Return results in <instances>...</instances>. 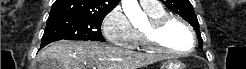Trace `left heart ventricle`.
Segmentation results:
<instances>
[{"mask_svg":"<svg viewBox=\"0 0 246 69\" xmlns=\"http://www.w3.org/2000/svg\"><path fill=\"white\" fill-rule=\"evenodd\" d=\"M146 27L147 24L143 29ZM158 40L170 48L179 49L189 43L191 38L187 29L179 21L174 20L164 28Z\"/></svg>","mask_w":246,"mask_h":69,"instance_id":"b2bd125f","label":"left heart ventricle"}]
</instances>
